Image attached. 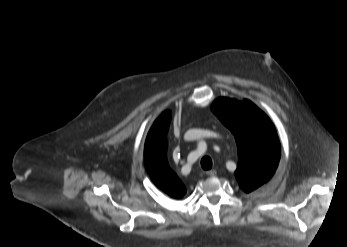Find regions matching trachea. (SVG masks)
I'll use <instances>...</instances> for the list:
<instances>
[{"mask_svg": "<svg viewBox=\"0 0 347 247\" xmlns=\"http://www.w3.org/2000/svg\"><path fill=\"white\" fill-rule=\"evenodd\" d=\"M201 166L204 170H209L212 167V160L210 157L205 156L201 160Z\"/></svg>", "mask_w": 347, "mask_h": 247, "instance_id": "obj_1", "label": "trachea"}]
</instances>
